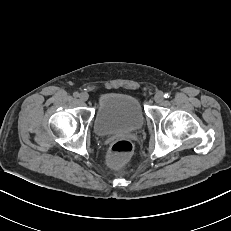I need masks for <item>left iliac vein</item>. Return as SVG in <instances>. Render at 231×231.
I'll use <instances>...</instances> for the list:
<instances>
[{"mask_svg": "<svg viewBox=\"0 0 231 231\" xmlns=\"http://www.w3.org/2000/svg\"><path fill=\"white\" fill-rule=\"evenodd\" d=\"M164 99V95L162 92H157L154 96V101L157 103H161Z\"/></svg>", "mask_w": 231, "mask_h": 231, "instance_id": "4c4485c4", "label": "left iliac vein"}]
</instances>
